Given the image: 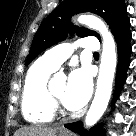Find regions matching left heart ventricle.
Returning a JSON list of instances; mask_svg holds the SVG:
<instances>
[{"instance_id":"b2bd125f","label":"left heart ventricle","mask_w":136,"mask_h":136,"mask_svg":"<svg viewBox=\"0 0 136 136\" xmlns=\"http://www.w3.org/2000/svg\"><path fill=\"white\" fill-rule=\"evenodd\" d=\"M53 93L59 98L62 100L63 98V95H64V92H65V89H66V85L65 84H59V85H56L54 87L51 88Z\"/></svg>"}]
</instances>
